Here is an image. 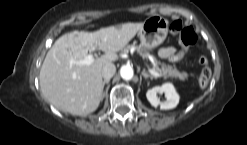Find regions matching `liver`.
Here are the masks:
<instances>
[{
	"instance_id": "6515ba94",
	"label": "liver",
	"mask_w": 247,
	"mask_h": 145,
	"mask_svg": "<svg viewBox=\"0 0 247 145\" xmlns=\"http://www.w3.org/2000/svg\"><path fill=\"white\" fill-rule=\"evenodd\" d=\"M143 27V23H124L120 27L95 32L74 30L59 37L40 69V88L45 99L60 111L86 116L102 99V68L117 59L122 50ZM102 50L104 55L90 65H77L88 52Z\"/></svg>"
}]
</instances>
